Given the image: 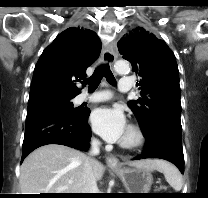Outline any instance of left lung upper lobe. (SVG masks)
I'll return each instance as SVG.
<instances>
[{"label":"left lung upper lobe","mask_w":208,"mask_h":198,"mask_svg":"<svg viewBox=\"0 0 208 198\" xmlns=\"http://www.w3.org/2000/svg\"><path fill=\"white\" fill-rule=\"evenodd\" d=\"M118 49L141 79V98L128 102L144 135L168 124L181 131L179 71L165 41L138 27L118 41Z\"/></svg>","instance_id":"5c2ea615"}]
</instances>
